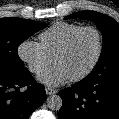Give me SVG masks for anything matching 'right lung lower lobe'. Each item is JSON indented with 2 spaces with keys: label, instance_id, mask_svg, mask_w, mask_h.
<instances>
[{
  "label": "right lung lower lobe",
  "instance_id": "obj_1",
  "mask_svg": "<svg viewBox=\"0 0 119 119\" xmlns=\"http://www.w3.org/2000/svg\"><path fill=\"white\" fill-rule=\"evenodd\" d=\"M45 99L44 86L33 79L27 68L0 72V119H29Z\"/></svg>",
  "mask_w": 119,
  "mask_h": 119
}]
</instances>
